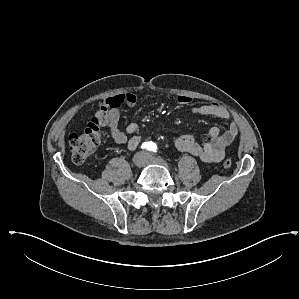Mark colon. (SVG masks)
Masks as SVG:
<instances>
[{"label":"colon","instance_id":"1","mask_svg":"<svg viewBox=\"0 0 299 299\" xmlns=\"http://www.w3.org/2000/svg\"><path fill=\"white\" fill-rule=\"evenodd\" d=\"M101 126V121L94 117L83 131L72 133L69 136L71 157L75 164L84 163L99 145L102 139ZM223 166L230 168L232 160L226 159Z\"/></svg>","mask_w":299,"mask_h":299}]
</instances>
